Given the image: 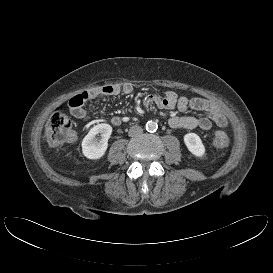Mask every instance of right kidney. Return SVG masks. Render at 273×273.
Here are the masks:
<instances>
[{
  "mask_svg": "<svg viewBox=\"0 0 273 273\" xmlns=\"http://www.w3.org/2000/svg\"><path fill=\"white\" fill-rule=\"evenodd\" d=\"M98 134L101 135L100 140L95 138ZM111 134L112 127L106 123H101L91 128L82 141L83 155L88 159H100L103 157Z\"/></svg>",
  "mask_w": 273,
  "mask_h": 273,
  "instance_id": "1",
  "label": "right kidney"
}]
</instances>
